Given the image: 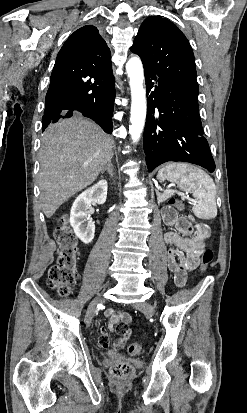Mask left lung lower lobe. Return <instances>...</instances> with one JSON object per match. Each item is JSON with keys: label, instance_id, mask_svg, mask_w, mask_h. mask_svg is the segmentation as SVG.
<instances>
[{"label": "left lung lower lobe", "instance_id": "1", "mask_svg": "<svg viewBox=\"0 0 247 413\" xmlns=\"http://www.w3.org/2000/svg\"><path fill=\"white\" fill-rule=\"evenodd\" d=\"M147 119L144 152L149 171L167 161H183L215 170L199 115L198 94L144 67Z\"/></svg>", "mask_w": 247, "mask_h": 413}]
</instances>
